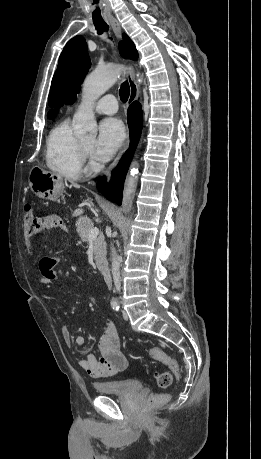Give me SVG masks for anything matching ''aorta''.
<instances>
[{"instance_id": "1", "label": "aorta", "mask_w": 261, "mask_h": 459, "mask_svg": "<svg viewBox=\"0 0 261 459\" xmlns=\"http://www.w3.org/2000/svg\"><path fill=\"white\" fill-rule=\"evenodd\" d=\"M122 66L111 65L97 68L84 81L82 88V103L74 116V136L82 139H95L97 122L93 113L95 101L103 95L119 79ZM138 162L133 161L126 178L123 191V207L127 208L132 202L137 187Z\"/></svg>"}]
</instances>
